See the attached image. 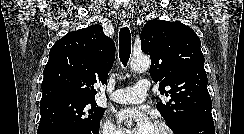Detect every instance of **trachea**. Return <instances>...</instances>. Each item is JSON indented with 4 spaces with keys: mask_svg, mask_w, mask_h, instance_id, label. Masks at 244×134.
<instances>
[{
    "mask_svg": "<svg viewBox=\"0 0 244 134\" xmlns=\"http://www.w3.org/2000/svg\"><path fill=\"white\" fill-rule=\"evenodd\" d=\"M131 54V34L128 27H122L119 32V57L124 66Z\"/></svg>",
    "mask_w": 244,
    "mask_h": 134,
    "instance_id": "1",
    "label": "trachea"
}]
</instances>
